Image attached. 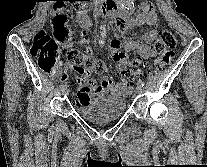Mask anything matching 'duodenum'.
<instances>
[{
  "label": "duodenum",
  "mask_w": 207,
  "mask_h": 167,
  "mask_svg": "<svg viewBox=\"0 0 207 167\" xmlns=\"http://www.w3.org/2000/svg\"><path fill=\"white\" fill-rule=\"evenodd\" d=\"M100 10L104 13L114 14L119 18L127 19V14L120 9L117 0H103L100 5Z\"/></svg>",
  "instance_id": "410a0bca"
}]
</instances>
